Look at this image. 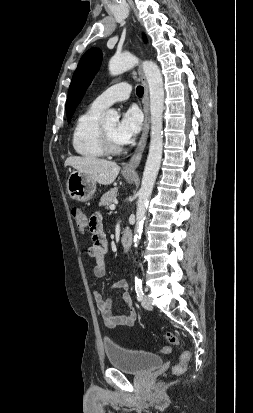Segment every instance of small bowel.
<instances>
[{
    "label": "small bowel",
    "mask_w": 253,
    "mask_h": 413,
    "mask_svg": "<svg viewBox=\"0 0 253 413\" xmlns=\"http://www.w3.org/2000/svg\"><path fill=\"white\" fill-rule=\"evenodd\" d=\"M88 226L92 236V245L88 247L87 255L94 260V276L97 278H102L106 274L107 266L105 256L108 251V242L103 231V217L101 213H94L88 221ZM115 288L123 291V300L129 306V310L125 315H113L111 311L113 303L112 298L105 299L99 290L95 289L93 291V297L104 324L109 328H115L118 326H133L137 319V313L132 307L131 297L128 293V280L126 278L118 280L115 284Z\"/></svg>",
    "instance_id": "1"
}]
</instances>
